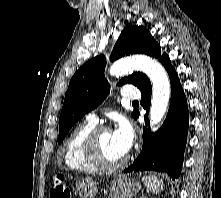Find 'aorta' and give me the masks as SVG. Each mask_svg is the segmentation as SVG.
I'll list each match as a JSON object with an SVG mask.
<instances>
[{"label": "aorta", "instance_id": "762f6f07", "mask_svg": "<svg viewBox=\"0 0 221 198\" xmlns=\"http://www.w3.org/2000/svg\"><path fill=\"white\" fill-rule=\"evenodd\" d=\"M132 70L142 71L152 82L150 122L152 129L155 130L166 113L170 99V82L167 73L155 59L137 55L115 62L110 68V74L119 76Z\"/></svg>", "mask_w": 221, "mask_h": 198}]
</instances>
